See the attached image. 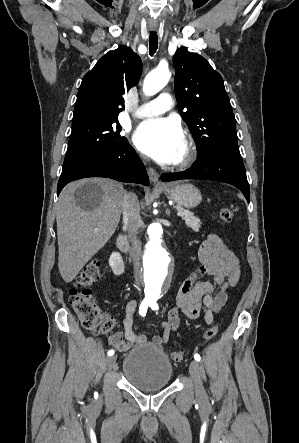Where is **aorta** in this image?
Returning <instances> with one entry per match:
<instances>
[{
    "mask_svg": "<svg viewBox=\"0 0 299 443\" xmlns=\"http://www.w3.org/2000/svg\"><path fill=\"white\" fill-rule=\"evenodd\" d=\"M171 73L166 68H157L150 72L143 84L147 96L158 93L169 81ZM147 244L143 256L145 297L148 300L159 299L166 287L171 255L164 238L165 231L160 223H151L146 229Z\"/></svg>",
    "mask_w": 299,
    "mask_h": 443,
    "instance_id": "762f6f07",
    "label": "aorta"
}]
</instances>
